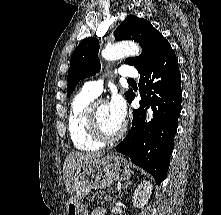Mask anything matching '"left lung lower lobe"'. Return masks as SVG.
Wrapping results in <instances>:
<instances>
[{
    "label": "left lung lower lobe",
    "mask_w": 221,
    "mask_h": 215,
    "mask_svg": "<svg viewBox=\"0 0 221 215\" xmlns=\"http://www.w3.org/2000/svg\"><path fill=\"white\" fill-rule=\"evenodd\" d=\"M139 74L140 108L133 110L132 128L116 151L129 156L159 184L166 178L169 168L182 101L178 60L170 44H166ZM134 97L133 93L128 102ZM149 106L153 119L145 123L144 108Z\"/></svg>",
    "instance_id": "left-lung-lower-lobe-1"
}]
</instances>
